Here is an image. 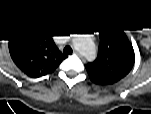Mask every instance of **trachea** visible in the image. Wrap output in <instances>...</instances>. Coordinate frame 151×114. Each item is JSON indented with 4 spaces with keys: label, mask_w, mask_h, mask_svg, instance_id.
Here are the masks:
<instances>
[{
    "label": "trachea",
    "mask_w": 151,
    "mask_h": 114,
    "mask_svg": "<svg viewBox=\"0 0 151 114\" xmlns=\"http://www.w3.org/2000/svg\"><path fill=\"white\" fill-rule=\"evenodd\" d=\"M64 53H65V54H70V53H72L71 47H69V46L65 47V48H64Z\"/></svg>",
    "instance_id": "1"
}]
</instances>
